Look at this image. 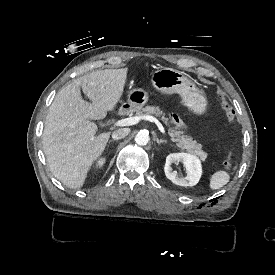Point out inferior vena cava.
Returning a JSON list of instances; mask_svg holds the SVG:
<instances>
[{"instance_id": "1", "label": "inferior vena cava", "mask_w": 275, "mask_h": 275, "mask_svg": "<svg viewBox=\"0 0 275 275\" xmlns=\"http://www.w3.org/2000/svg\"><path fill=\"white\" fill-rule=\"evenodd\" d=\"M129 133H130V129L128 128L118 129L113 131L112 138L114 140L122 139V138H125Z\"/></svg>"}]
</instances>
